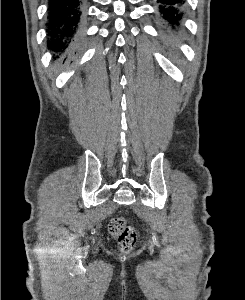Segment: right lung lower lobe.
<instances>
[{
    "instance_id": "98d812e1",
    "label": "right lung lower lobe",
    "mask_w": 245,
    "mask_h": 300,
    "mask_svg": "<svg viewBox=\"0 0 245 300\" xmlns=\"http://www.w3.org/2000/svg\"><path fill=\"white\" fill-rule=\"evenodd\" d=\"M85 0H49L48 47L57 53L76 48L83 29Z\"/></svg>"
}]
</instances>
